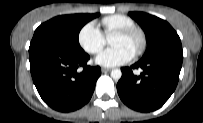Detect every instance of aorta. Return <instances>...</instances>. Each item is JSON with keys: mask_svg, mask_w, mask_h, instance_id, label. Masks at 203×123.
Wrapping results in <instances>:
<instances>
[{"mask_svg": "<svg viewBox=\"0 0 203 123\" xmlns=\"http://www.w3.org/2000/svg\"><path fill=\"white\" fill-rule=\"evenodd\" d=\"M122 76V72L120 69H113L111 71V77L114 79V80H119Z\"/></svg>", "mask_w": 203, "mask_h": 123, "instance_id": "762f6f07", "label": "aorta"}]
</instances>
